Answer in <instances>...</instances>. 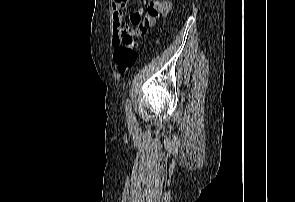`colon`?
<instances>
[{
    "label": "colon",
    "instance_id": "obj_1",
    "mask_svg": "<svg viewBox=\"0 0 295 202\" xmlns=\"http://www.w3.org/2000/svg\"><path fill=\"white\" fill-rule=\"evenodd\" d=\"M136 48L137 43L133 35L130 32H124L120 44L113 54V60L117 71L124 73L135 64L137 60Z\"/></svg>",
    "mask_w": 295,
    "mask_h": 202
}]
</instances>
